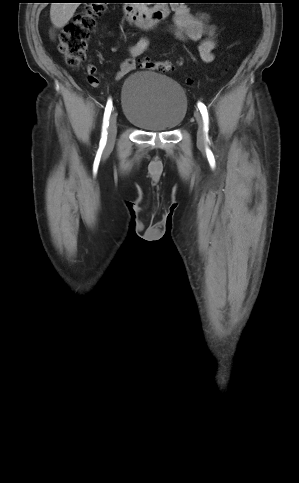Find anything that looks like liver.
Instances as JSON below:
<instances>
[{"instance_id":"obj_1","label":"liver","mask_w":299,"mask_h":483,"mask_svg":"<svg viewBox=\"0 0 299 483\" xmlns=\"http://www.w3.org/2000/svg\"><path fill=\"white\" fill-rule=\"evenodd\" d=\"M79 3H51L50 18L56 28L64 27L73 17Z\"/></svg>"}]
</instances>
